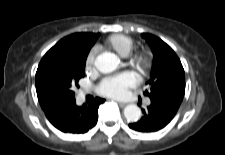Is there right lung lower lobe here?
<instances>
[{
    "label": "right lung lower lobe",
    "instance_id": "right-lung-lower-lobe-1",
    "mask_svg": "<svg viewBox=\"0 0 225 155\" xmlns=\"http://www.w3.org/2000/svg\"><path fill=\"white\" fill-rule=\"evenodd\" d=\"M105 100L95 98L88 106H77L75 99L62 100L44 110L50 123L65 133H85L94 127L98 119V107Z\"/></svg>",
    "mask_w": 225,
    "mask_h": 155
}]
</instances>
